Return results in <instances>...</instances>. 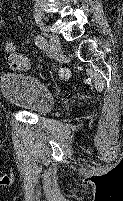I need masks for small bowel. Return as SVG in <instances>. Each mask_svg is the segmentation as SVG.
<instances>
[{
  "label": "small bowel",
  "instance_id": "1",
  "mask_svg": "<svg viewBox=\"0 0 123 201\" xmlns=\"http://www.w3.org/2000/svg\"><path fill=\"white\" fill-rule=\"evenodd\" d=\"M5 23V15L1 12L0 9V28L4 25Z\"/></svg>",
  "mask_w": 123,
  "mask_h": 201
}]
</instances>
